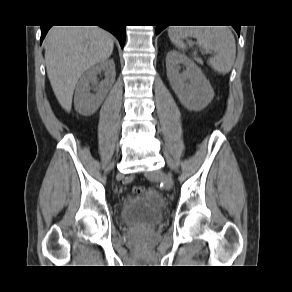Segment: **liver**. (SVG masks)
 Returning a JSON list of instances; mask_svg holds the SVG:
<instances>
[{
	"instance_id": "6515ba94",
	"label": "liver",
	"mask_w": 292,
	"mask_h": 292,
	"mask_svg": "<svg viewBox=\"0 0 292 292\" xmlns=\"http://www.w3.org/2000/svg\"><path fill=\"white\" fill-rule=\"evenodd\" d=\"M47 75L54 94L67 112L81 75L110 57L112 35L98 26H53L44 40Z\"/></svg>"
}]
</instances>
